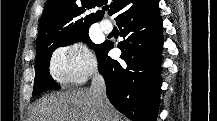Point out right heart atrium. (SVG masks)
<instances>
[{
    "label": "right heart atrium",
    "instance_id": "d8ad5b80",
    "mask_svg": "<svg viewBox=\"0 0 217 121\" xmlns=\"http://www.w3.org/2000/svg\"><path fill=\"white\" fill-rule=\"evenodd\" d=\"M97 70L93 53L79 43L58 49L52 56L49 71L58 83H81Z\"/></svg>",
    "mask_w": 217,
    "mask_h": 121
}]
</instances>
